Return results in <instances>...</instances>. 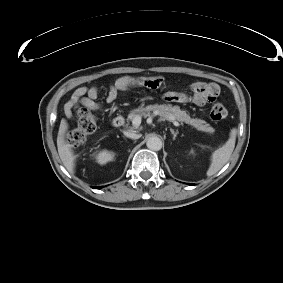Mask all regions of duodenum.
<instances>
[{
  "instance_id": "obj_1",
  "label": "duodenum",
  "mask_w": 283,
  "mask_h": 283,
  "mask_svg": "<svg viewBox=\"0 0 283 283\" xmlns=\"http://www.w3.org/2000/svg\"><path fill=\"white\" fill-rule=\"evenodd\" d=\"M125 122V119L122 115H118V116H115L112 121H111V124L114 128H118V127H121Z\"/></svg>"
}]
</instances>
